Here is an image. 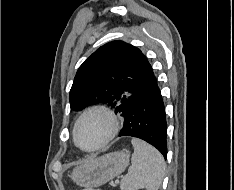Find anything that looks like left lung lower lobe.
<instances>
[{"label": "left lung lower lobe", "instance_id": "left-lung-lower-lobe-1", "mask_svg": "<svg viewBox=\"0 0 234 190\" xmlns=\"http://www.w3.org/2000/svg\"><path fill=\"white\" fill-rule=\"evenodd\" d=\"M119 136L140 138L167 156L165 108L151 65L149 80L130 102Z\"/></svg>", "mask_w": 234, "mask_h": 190}]
</instances>
